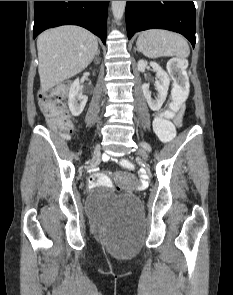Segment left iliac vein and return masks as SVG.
<instances>
[{
    "instance_id": "left-iliac-vein-1",
    "label": "left iliac vein",
    "mask_w": 233,
    "mask_h": 295,
    "mask_svg": "<svg viewBox=\"0 0 233 295\" xmlns=\"http://www.w3.org/2000/svg\"><path fill=\"white\" fill-rule=\"evenodd\" d=\"M148 145L146 142L140 143V148L138 149V155L141 156L144 160L148 159L147 153L145 151V148L142 146L143 144Z\"/></svg>"
}]
</instances>
